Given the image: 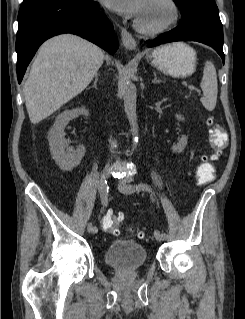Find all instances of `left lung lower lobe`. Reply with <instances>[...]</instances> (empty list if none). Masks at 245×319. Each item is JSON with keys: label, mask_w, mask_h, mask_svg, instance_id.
Returning a JSON list of instances; mask_svg holds the SVG:
<instances>
[{"label": "left lung lower lobe", "mask_w": 245, "mask_h": 319, "mask_svg": "<svg viewBox=\"0 0 245 319\" xmlns=\"http://www.w3.org/2000/svg\"><path fill=\"white\" fill-rule=\"evenodd\" d=\"M173 41H197L214 48L221 56L223 63L225 56L223 53V28L213 25L204 20H193L181 23L169 32L163 33L155 40H148V47L173 42Z\"/></svg>", "instance_id": "0a47b994"}]
</instances>
